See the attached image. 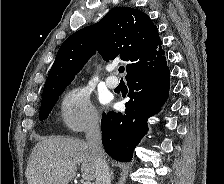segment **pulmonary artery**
<instances>
[{
	"mask_svg": "<svg viewBox=\"0 0 224 184\" xmlns=\"http://www.w3.org/2000/svg\"><path fill=\"white\" fill-rule=\"evenodd\" d=\"M113 70H114V67L110 66L109 71H113ZM105 83H106L107 87L113 89L118 86L119 80L115 76L111 75L106 78Z\"/></svg>",
	"mask_w": 224,
	"mask_h": 184,
	"instance_id": "obj_1",
	"label": "pulmonary artery"
}]
</instances>
